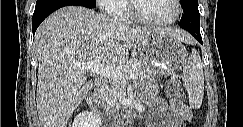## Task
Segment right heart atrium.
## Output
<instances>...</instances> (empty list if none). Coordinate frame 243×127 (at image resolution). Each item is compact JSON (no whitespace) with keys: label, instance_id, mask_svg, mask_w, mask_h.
<instances>
[{"label":"right heart atrium","instance_id":"d8ad5b80","mask_svg":"<svg viewBox=\"0 0 243 127\" xmlns=\"http://www.w3.org/2000/svg\"><path fill=\"white\" fill-rule=\"evenodd\" d=\"M96 2L107 15L115 16L120 13V9L118 8L120 0H97Z\"/></svg>","mask_w":243,"mask_h":127}]
</instances>
